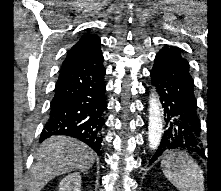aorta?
<instances>
[{
    "mask_svg": "<svg viewBox=\"0 0 221 191\" xmlns=\"http://www.w3.org/2000/svg\"><path fill=\"white\" fill-rule=\"evenodd\" d=\"M163 132L162 113L156 89L153 88L149 99L148 141L151 149L158 148Z\"/></svg>",
    "mask_w": 221,
    "mask_h": 191,
    "instance_id": "762f6f07",
    "label": "aorta"
}]
</instances>
